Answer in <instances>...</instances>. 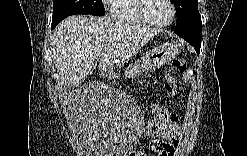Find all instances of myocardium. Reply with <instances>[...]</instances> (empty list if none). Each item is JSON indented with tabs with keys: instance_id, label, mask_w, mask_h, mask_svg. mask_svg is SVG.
<instances>
[{
	"instance_id": "f54148a6",
	"label": "myocardium",
	"mask_w": 247,
	"mask_h": 156,
	"mask_svg": "<svg viewBox=\"0 0 247 156\" xmlns=\"http://www.w3.org/2000/svg\"><path fill=\"white\" fill-rule=\"evenodd\" d=\"M168 6L170 7V11H171V15L170 18L165 21V22H155L151 19H149L145 12H144V4H145V0H138L136 2V11L139 15V17L141 18V20L143 21L144 24L150 26V27H156V28H163V27H167L169 25H171L175 19V6L173 5V3L170 0H164Z\"/></svg>"
}]
</instances>
